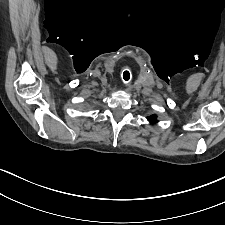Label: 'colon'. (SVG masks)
Segmentation results:
<instances>
[{"instance_id": "colon-1", "label": "colon", "mask_w": 225, "mask_h": 225, "mask_svg": "<svg viewBox=\"0 0 225 225\" xmlns=\"http://www.w3.org/2000/svg\"><path fill=\"white\" fill-rule=\"evenodd\" d=\"M126 71H128L129 72V70L127 69ZM130 74V72L129 73H127V76Z\"/></svg>"}]
</instances>
